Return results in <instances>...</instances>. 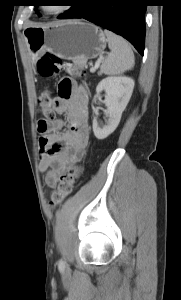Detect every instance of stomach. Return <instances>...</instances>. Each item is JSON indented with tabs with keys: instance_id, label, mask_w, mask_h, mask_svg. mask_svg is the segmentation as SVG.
Segmentation results:
<instances>
[{
	"instance_id": "1",
	"label": "stomach",
	"mask_w": 181,
	"mask_h": 300,
	"mask_svg": "<svg viewBox=\"0 0 181 300\" xmlns=\"http://www.w3.org/2000/svg\"><path fill=\"white\" fill-rule=\"evenodd\" d=\"M24 38L33 61L45 52L67 60L80 61L96 58L106 47L102 29L79 20L65 21L44 27H29Z\"/></svg>"
}]
</instances>
